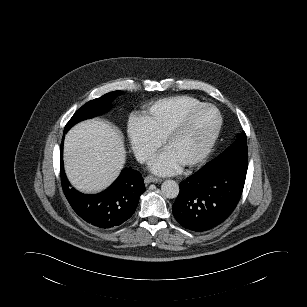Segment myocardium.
<instances>
[{"instance_id": "f54148a6", "label": "myocardium", "mask_w": 307, "mask_h": 307, "mask_svg": "<svg viewBox=\"0 0 307 307\" xmlns=\"http://www.w3.org/2000/svg\"><path fill=\"white\" fill-rule=\"evenodd\" d=\"M203 108H208L211 109L215 112L217 116V123L216 126L206 141L205 145L203 148L190 160L182 164L184 167H194L200 163H202L212 152L219 134L221 132L222 124H223V118L222 115L219 111V109L210 104V103H198L190 108H188L177 120V122L172 126V128L166 133V135L163 138V147L166 149L167 145L177 136H179L184 128L187 125V122L189 121L190 117L198 110L203 109Z\"/></svg>"}]
</instances>
